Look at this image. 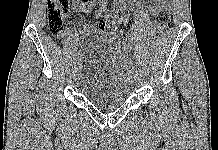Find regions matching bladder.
I'll return each mask as SVG.
<instances>
[{"label": "bladder", "mask_w": 218, "mask_h": 150, "mask_svg": "<svg viewBox=\"0 0 218 150\" xmlns=\"http://www.w3.org/2000/svg\"><path fill=\"white\" fill-rule=\"evenodd\" d=\"M119 42L102 34H92L84 47V66L78 82L86 99L94 106L112 109L122 106L132 91L133 77L125 67Z\"/></svg>", "instance_id": "obj_1"}]
</instances>
